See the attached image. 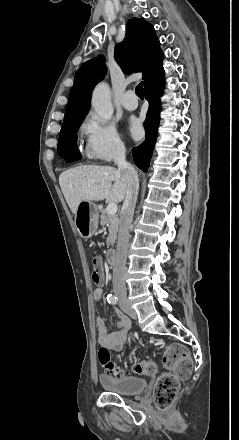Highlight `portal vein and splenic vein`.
<instances>
[{
	"mask_svg": "<svg viewBox=\"0 0 239 440\" xmlns=\"http://www.w3.org/2000/svg\"><path fill=\"white\" fill-rule=\"evenodd\" d=\"M108 214H116L117 212V204H114V202H111V204H108L107 208H106Z\"/></svg>",
	"mask_w": 239,
	"mask_h": 440,
	"instance_id": "obj_1",
	"label": "portal vein and splenic vein"
}]
</instances>
